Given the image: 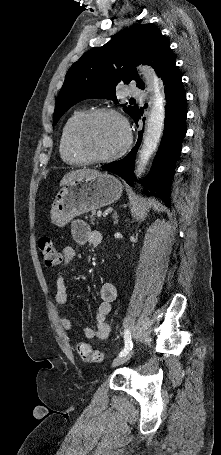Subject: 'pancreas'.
Masks as SVG:
<instances>
[{
	"instance_id": "1",
	"label": "pancreas",
	"mask_w": 221,
	"mask_h": 455,
	"mask_svg": "<svg viewBox=\"0 0 221 455\" xmlns=\"http://www.w3.org/2000/svg\"><path fill=\"white\" fill-rule=\"evenodd\" d=\"M95 220H96L95 212L92 211V212H91V215H90V222H91L92 224H94Z\"/></svg>"
}]
</instances>
